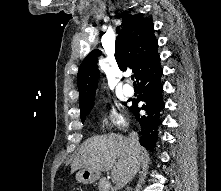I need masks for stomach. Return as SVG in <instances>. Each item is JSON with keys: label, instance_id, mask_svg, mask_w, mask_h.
I'll return each instance as SVG.
<instances>
[{"label": "stomach", "instance_id": "obj_1", "mask_svg": "<svg viewBox=\"0 0 221 191\" xmlns=\"http://www.w3.org/2000/svg\"><path fill=\"white\" fill-rule=\"evenodd\" d=\"M100 178V172L83 168L76 173V180L82 184H92Z\"/></svg>", "mask_w": 221, "mask_h": 191}]
</instances>
